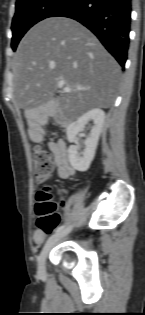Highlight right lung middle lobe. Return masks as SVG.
I'll return each mask as SVG.
<instances>
[{
  "label": "right lung middle lobe",
  "instance_id": "obj_1",
  "mask_svg": "<svg viewBox=\"0 0 145 315\" xmlns=\"http://www.w3.org/2000/svg\"><path fill=\"white\" fill-rule=\"evenodd\" d=\"M71 0H19L12 21L11 47L16 49L23 35L37 22L51 17Z\"/></svg>",
  "mask_w": 145,
  "mask_h": 315
}]
</instances>
